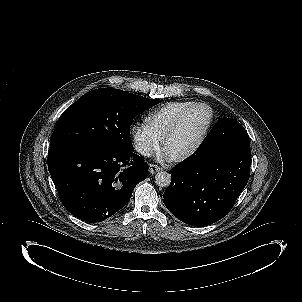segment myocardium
<instances>
[{
    "mask_svg": "<svg viewBox=\"0 0 302 302\" xmlns=\"http://www.w3.org/2000/svg\"><path fill=\"white\" fill-rule=\"evenodd\" d=\"M197 109H201V110L205 111V113H206V122H205V125H204L200 135L196 139V141L187 150L182 152V155L184 157L193 154L200 147V145L203 143V141L205 140V138H206V136L209 132V129H210L211 123H212L213 113H212V110L207 105H205V104H192V105L188 106L177 117V119L175 120V122L171 126L169 132L165 135V138H164V143L166 145L169 144V141H170L171 137L176 132V130L178 129L180 123L185 118V116L188 115L189 113L197 110Z\"/></svg>",
    "mask_w": 302,
    "mask_h": 302,
    "instance_id": "obj_1",
    "label": "myocardium"
}]
</instances>
